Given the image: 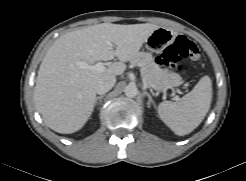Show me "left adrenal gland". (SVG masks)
I'll return each mask as SVG.
<instances>
[{
  "label": "left adrenal gland",
  "instance_id": "obj_1",
  "mask_svg": "<svg viewBox=\"0 0 246 181\" xmlns=\"http://www.w3.org/2000/svg\"><path fill=\"white\" fill-rule=\"evenodd\" d=\"M144 95H146L147 97H148V108H150L151 107V105H154V106H156V104H155V102H154V100L152 99V97H151V95L144 89Z\"/></svg>",
  "mask_w": 246,
  "mask_h": 181
}]
</instances>
